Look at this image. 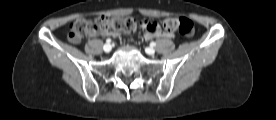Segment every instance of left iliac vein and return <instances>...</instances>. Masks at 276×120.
<instances>
[{
	"instance_id": "1",
	"label": "left iliac vein",
	"mask_w": 276,
	"mask_h": 120,
	"mask_svg": "<svg viewBox=\"0 0 276 120\" xmlns=\"http://www.w3.org/2000/svg\"><path fill=\"white\" fill-rule=\"evenodd\" d=\"M145 51L148 55H154L155 54V49L152 48V47L146 48Z\"/></svg>"
}]
</instances>
